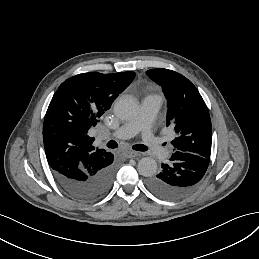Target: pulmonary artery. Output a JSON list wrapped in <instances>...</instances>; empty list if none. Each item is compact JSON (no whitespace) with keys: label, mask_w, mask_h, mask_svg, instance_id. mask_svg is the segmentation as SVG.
Listing matches in <instances>:
<instances>
[{"label":"pulmonary artery","mask_w":259,"mask_h":259,"mask_svg":"<svg viewBox=\"0 0 259 259\" xmlns=\"http://www.w3.org/2000/svg\"><path fill=\"white\" fill-rule=\"evenodd\" d=\"M164 96L161 94L150 95L142 99L138 112L135 116L121 122L120 127L113 133L114 136L131 137L142 129H145L154 119L164 104ZM98 137H101L98 128Z\"/></svg>","instance_id":"obj_1"}]
</instances>
